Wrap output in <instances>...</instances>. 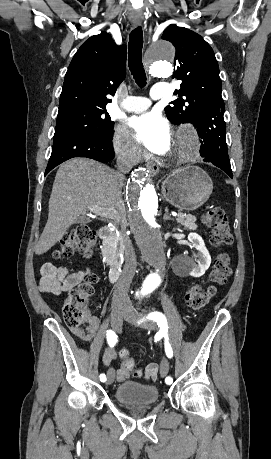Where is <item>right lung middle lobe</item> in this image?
<instances>
[{"label": "right lung middle lobe", "mask_w": 271, "mask_h": 459, "mask_svg": "<svg viewBox=\"0 0 271 459\" xmlns=\"http://www.w3.org/2000/svg\"><path fill=\"white\" fill-rule=\"evenodd\" d=\"M114 122L106 109L79 108L58 112L53 141L73 134L110 135Z\"/></svg>", "instance_id": "dd1d6c3e"}]
</instances>
